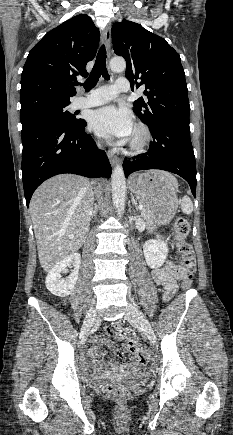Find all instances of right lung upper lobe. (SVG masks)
I'll list each match as a JSON object with an SVG mask.
<instances>
[{"instance_id": "obj_1", "label": "right lung upper lobe", "mask_w": 233, "mask_h": 435, "mask_svg": "<svg viewBox=\"0 0 233 435\" xmlns=\"http://www.w3.org/2000/svg\"><path fill=\"white\" fill-rule=\"evenodd\" d=\"M99 31L86 14L75 16L49 31L29 52L21 76L20 115L70 104L76 77H87ZM74 81V82H73Z\"/></svg>"}]
</instances>
